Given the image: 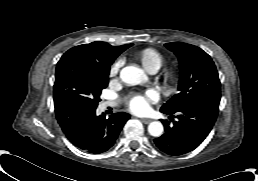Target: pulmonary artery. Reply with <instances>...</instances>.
<instances>
[{
    "label": "pulmonary artery",
    "mask_w": 258,
    "mask_h": 181,
    "mask_svg": "<svg viewBox=\"0 0 258 181\" xmlns=\"http://www.w3.org/2000/svg\"><path fill=\"white\" fill-rule=\"evenodd\" d=\"M151 73H155V72H151ZM118 102L116 101H108L102 104V108H107V107H113V106H117Z\"/></svg>",
    "instance_id": "1"
}]
</instances>
